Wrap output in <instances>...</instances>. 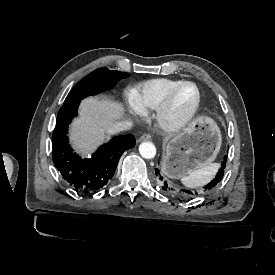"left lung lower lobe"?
Masks as SVG:
<instances>
[{"instance_id": "obj_1", "label": "left lung lower lobe", "mask_w": 275, "mask_h": 275, "mask_svg": "<svg viewBox=\"0 0 275 275\" xmlns=\"http://www.w3.org/2000/svg\"><path fill=\"white\" fill-rule=\"evenodd\" d=\"M225 163H226V158H225V161L222 163V167L217 172L215 178L204 187L203 192H209V191L213 190L215 188V186L220 182V180L222 179V177L224 175ZM155 176H156V181H157L158 185L161 187V189L164 192L171 193L173 191V188L170 187L168 182L163 178V176L160 174L159 169H157V168L155 169ZM184 192L187 194L194 195L193 192H191V191H184ZM195 194L197 195L198 193L195 192Z\"/></svg>"}]
</instances>
